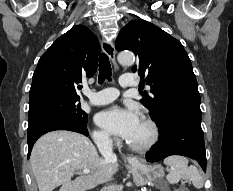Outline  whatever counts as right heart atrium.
I'll list each match as a JSON object with an SVG mask.
<instances>
[{"instance_id": "obj_1", "label": "right heart atrium", "mask_w": 233, "mask_h": 191, "mask_svg": "<svg viewBox=\"0 0 233 191\" xmlns=\"http://www.w3.org/2000/svg\"><path fill=\"white\" fill-rule=\"evenodd\" d=\"M92 136L100 150H107L115 145V140L105 131L94 130Z\"/></svg>"}]
</instances>
